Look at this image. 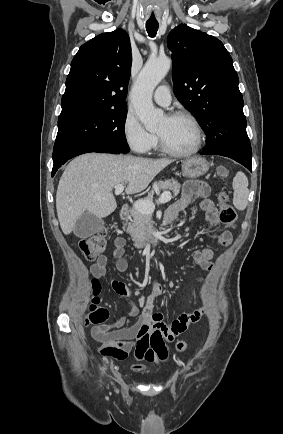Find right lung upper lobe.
<instances>
[{"instance_id":"right-lung-upper-lobe-1","label":"right lung upper lobe","mask_w":283,"mask_h":434,"mask_svg":"<svg viewBox=\"0 0 283 434\" xmlns=\"http://www.w3.org/2000/svg\"><path fill=\"white\" fill-rule=\"evenodd\" d=\"M131 64L130 40L122 29L83 44L71 62L60 116L127 108Z\"/></svg>"}]
</instances>
